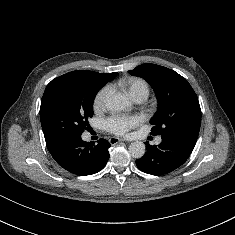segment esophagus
I'll return each instance as SVG.
<instances>
[{
    "instance_id": "1",
    "label": "esophagus",
    "mask_w": 235,
    "mask_h": 235,
    "mask_svg": "<svg viewBox=\"0 0 235 235\" xmlns=\"http://www.w3.org/2000/svg\"><path fill=\"white\" fill-rule=\"evenodd\" d=\"M109 142H110L111 145H115V144L124 142V140H123V139H120V138H117V137H111V138L109 139Z\"/></svg>"
}]
</instances>
